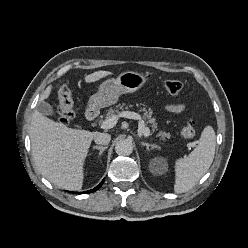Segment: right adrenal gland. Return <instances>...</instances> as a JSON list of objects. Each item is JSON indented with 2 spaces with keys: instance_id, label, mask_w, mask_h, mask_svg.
I'll use <instances>...</instances> for the list:
<instances>
[{
  "instance_id": "1",
  "label": "right adrenal gland",
  "mask_w": 248,
  "mask_h": 248,
  "mask_svg": "<svg viewBox=\"0 0 248 248\" xmlns=\"http://www.w3.org/2000/svg\"><path fill=\"white\" fill-rule=\"evenodd\" d=\"M107 148H108L107 146H105V147H103V146H94V147H93V149L99 150V156L102 155V153H103Z\"/></svg>"
}]
</instances>
